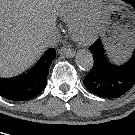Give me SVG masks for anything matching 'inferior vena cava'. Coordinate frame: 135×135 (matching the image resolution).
<instances>
[{
  "instance_id": "602c4592",
  "label": "inferior vena cava",
  "mask_w": 135,
  "mask_h": 135,
  "mask_svg": "<svg viewBox=\"0 0 135 135\" xmlns=\"http://www.w3.org/2000/svg\"><path fill=\"white\" fill-rule=\"evenodd\" d=\"M61 41L58 31L52 30L43 37V45L45 48L56 47Z\"/></svg>"
}]
</instances>
